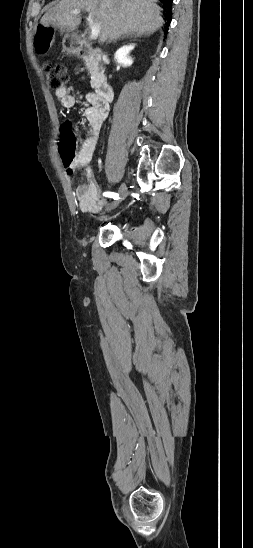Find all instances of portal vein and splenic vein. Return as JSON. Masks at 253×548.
<instances>
[{
	"mask_svg": "<svg viewBox=\"0 0 253 548\" xmlns=\"http://www.w3.org/2000/svg\"><path fill=\"white\" fill-rule=\"evenodd\" d=\"M72 14L78 15V14H80V10L75 9V10L72 11ZM94 18L95 17L93 15H89L88 18H87V20L89 22V25H90V29H91L90 39H92V40L97 39V37L100 34V24L98 22H95Z\"/></svg>",
	"mask_w": 253,
	"mask_h": 548,
	"instance_id": "18ae733b",
	"label": "portal vein and splenic vein"
}]
</instances>
